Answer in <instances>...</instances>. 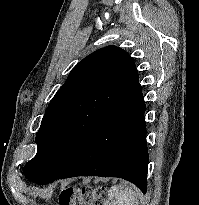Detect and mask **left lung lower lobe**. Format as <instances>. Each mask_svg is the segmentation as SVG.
Returning a JSON list of instances; mask_svg holds the SVG:
<instances>
[{
	"mask_svg": "<svg viewBox=\"0 0 199 205\" xmlns=\"http://www.w3.org/2000/svg\"><path fill=\"white\" fill-rule=\"evenodd\" d=\"M145 109L138 76L130 92L92 131L70 166L43 184L76 176L119 177L146 193L149 155Z\"/></svg>",
	"mask_w": 199,
	"mask_h": 205,
	"instance_id": "obj_1",
	"label": "left lung lower lobe"
}]
</instances>
